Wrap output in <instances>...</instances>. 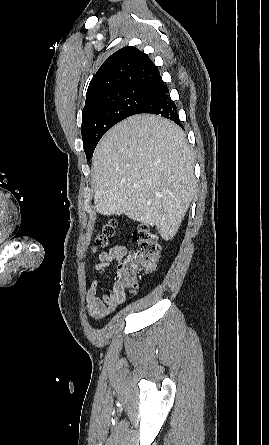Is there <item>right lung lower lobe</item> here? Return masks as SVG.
Here are the masks:
<instances>
[{
  "instance_id": "1",
  "label": "right lung lower lobe",
  "mask_w": 269,
  "mask_h": 445,
  "mask_svg": "<svg viewBox=\"0 0 269 445\" xmlns=\"http://www.w3.org/2000/svg\"><path fill=\"white\" fill-rule=\"evenodd\" d=\"M157 95L144 104L136 114L139 113H152L161 115L165 118L173 120L176 124H179V117L176 110L175 103L169 97V90L167 86L161 81L156 87Z\"/></svg>"
}]
</instances>
